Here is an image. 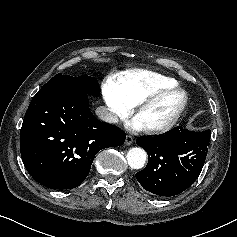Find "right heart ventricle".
<instances>
[{
  "instance_id": "obj_1",
  "label": "right heart ventricle",
  "mask_w": 237,
  "mask_h": 237,
  "mask_svg": "<svg viewBox=\"0 0 237 237\" xmlns=\"http://www.w3.org/2000/svg\"><path fill=\"white\" fill-rule=\"evenodd\" d=\"M113 81L121 94L133 106L155 92L176 86V81L147 70H129L116 74Z\"/></svg>"
}]
</instances>
